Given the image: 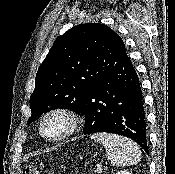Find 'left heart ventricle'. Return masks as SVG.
Wrapping results in <instances>:
<instances>
[{"mask_svg":"<svg viewBox=\"0 0 175 174\" xmlns=\"http://www.w3.org/2000/svg\"><path fill=\"white\" fill-rule=\"evenodd\" d=\"M68 127V120L61 115L50 116L44 123V132L48 136H57Z\"/></svg>","mask_w":175,"mask_h":174,"instance_id":"left-heart-ventricle-1","label":"left heart ventricle"}]
</instances>
